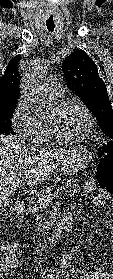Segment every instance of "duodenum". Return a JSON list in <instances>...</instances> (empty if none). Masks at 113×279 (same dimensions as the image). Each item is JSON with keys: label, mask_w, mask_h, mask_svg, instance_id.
Masks as SVG:
<instances>
[{"label": "duodenum", "mask_w": 113, "mask_h": 279, "mask_svg": "<svg viewBox=\"0 0 113 279\" xmlns=\"http://www.w3.org/2000/svg\"><path fill=\"white\" fill-rule=\"evenodd\" d=\"M72 221H73V213L71 211L66 212L53 234L37 233V240L41 244H46L51 240L57 239L60 235L64 234L69 230Z\"/></svg>", "instance_id": "duodenum-1"}]
</instances>
